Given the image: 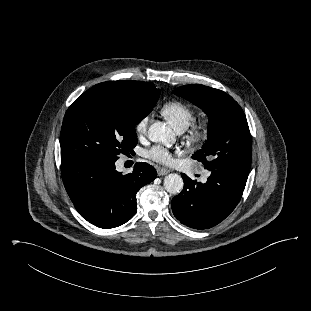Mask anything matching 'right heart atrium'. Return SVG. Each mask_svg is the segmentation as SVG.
I'll return each instance as SVG.
<instances>
[{
  "label": "right heart atrium",
  "mask_w": 311,
  "mask_h": 311,
  "mask_svg": "<svg viewBox=\"0 0 311 311\" xmlns=\"http://www.w3.org/2000/svg\"><path fill=\"white\" fill-rule=\"evenodd\" d=\"M148 117L143 116L135 123V131L138 136H142L147 131Z\"/></svg>",
  "instance_id": "d8ad5b80"
}]
</instances>
